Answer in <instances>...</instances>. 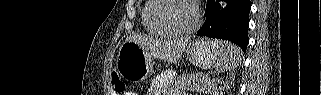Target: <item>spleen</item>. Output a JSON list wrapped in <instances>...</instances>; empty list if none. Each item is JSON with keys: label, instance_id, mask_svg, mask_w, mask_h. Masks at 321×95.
Instances as JSON below:
<instances>
[{"label": "spleen", "instance_id": "3e777b00", "mask_svg": "<svg viewBox=\"0 0 321 95\" xmlns=\"http://www.w3.org/2000/svg\"><path fill=\"white\" fill-rule=\"evenodd\" d=\"M223 45V52L215 64L218 72L232 70L238 66L241 60V51L235 44L225 42Z\"/></svg>", "mask_w": 321, "mask_h": 95}]
</instances>
